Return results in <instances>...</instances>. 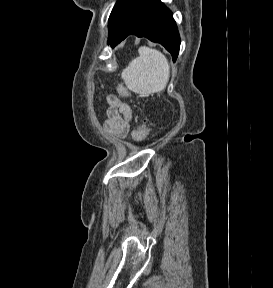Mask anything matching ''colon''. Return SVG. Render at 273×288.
Returning <instances> with one entry per match:
<instances>
[{
    "label": "colon",
    "mask_w": 273,
    "mask_h": 288,
    "mask_svg": "<svg viewBox=\"0 0 273 288\" xmlns=\"http://www.w3.org/2000/svg\"><path fill=\"white\" fill-rule=\"evenodd\" d=\"M117 92L121 97H129L131 95L129 89L122 83L118 84ZM150 129L147 123L139 124L132 132V139L135 142H143L147 139Z\"/></svg>",
    "instance_id": "colon-1"
}]
</instances>
